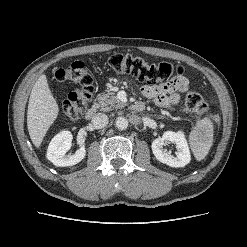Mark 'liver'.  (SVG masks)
Returning <instances> with one entry per match:
<instances>
[{"label":"liver","instance_id":"liver-1","mask_svg":"<svg viewBox=\"0 0 247 247\" xmlns=\"http://www.w3.org/2000/svg\"><path fill=\"white\" fill-rule=\"evenodd\" d=\"M59 114V106L53 97L45 74L34 84L28 104L27 127L36 148L41 143Z\"/></svg>","mask_w":247,"mask_h":247}]
</instances>
